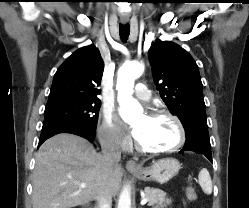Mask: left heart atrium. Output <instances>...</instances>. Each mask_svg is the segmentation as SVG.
<instances>
[{
    "label": "left heart atrium",
    "instance_id": "left-heart-atrium-1",
    "mask_svg": "<svg viewBox=\"0 0 249 208\" xmlns=\"http://www.w3.org/2000/svg\"><path fill=\"white\" fill-rule=\"evenodd\" d=\"M132 135L138 139L141 135V129L138 128V127H135L133 130H132Z\"/></svg>",
    "mask_w": 249,
    "mask_h": 208
}]
</instances>
